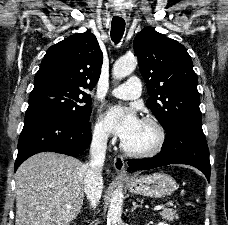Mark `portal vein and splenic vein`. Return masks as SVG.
Here are the masks:
<instances>
[{"mask_svg":"<svg viewBox=\"0 0 228 225\" xmlns=\"http://www.w3.org/2000/svg\"><path fill=\"white\" fill-rule=\"evenodd\" d=\"M166 204L169 207H176V205H180V200H167ZM71 205H67V209H70ZM164 204H156V209L154 211H160V209H164Z\"/></svg>","mask_w":228,"mask_h":225,"instance_id":"18ae733b","label":"portal vein and splenic vein"}]
</instances>
